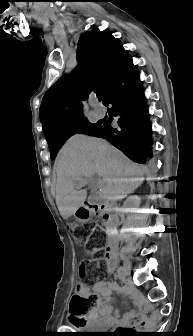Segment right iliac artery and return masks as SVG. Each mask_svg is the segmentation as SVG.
<instances>
[{
    "instance_id": "1",
    "label": "right iliac artery",
    "mask_w": 193,
    "mask_h": 336,
    "mask_svg": "<svg viewBox=\"0 0 193 336\" xmlns=\"http://www.w3.org/2000/svg\"><path fill=\"white\" fill-rule=\"evenodd\" d=\"M121 274H122V267H120L117 272V277L120 279H121Z\"/></svg>"
}]
</instances>
